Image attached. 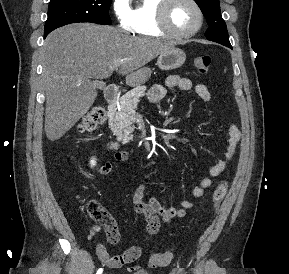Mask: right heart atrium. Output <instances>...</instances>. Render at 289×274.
Returning <instances> with one entry per match:
<instances>
[{"mask_svg":"<svg viewBox=\"0 0 289 274\" xmlns=\"http://www.w3.org/2000/svg\"><path fill=\"white\" fill-rule=\"evenodd\" d=\"M111 8L118 27L127 32L132 31V9L129 0H113Z\"/></svg>","mask_w":289,"mask_h":274,"instance_id":"right-heart-atrium-1","label":"right heart atrium"}]
</instances>
